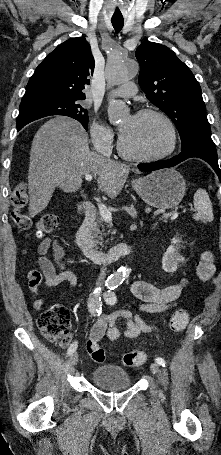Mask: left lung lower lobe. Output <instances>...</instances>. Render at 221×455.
I'll return each instance as SVG.
<instances>
[{
	"label": "left lung lower lobe",
	"mask_w": 221,
	"mask_h": 455,
	"mask_svg": "<svg viewBox=\"0 0 221 455\" xmlns=\"http://www.w3.org/2000/svg\"><path fill=\"white\" fill-rule=\"evenodd\" d=\"M192 157L201 158L209 163L221 180V172L218 166L216 146L213 142L195 141L185 149H182L179 155L174 156L171 159L160 162L142 163L138 165V168L142 171L150 172L158 169L173 167L180 162Z\"/></svg>",
	"instance_id": "obj_1"
}]
</instances>
